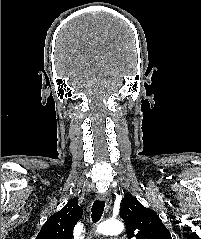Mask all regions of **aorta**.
<instances>
[{"instance_id":"762f6f07","label":"aorta","mask_w":201,"mask_h":239,"mask_svg":"<svg viewBox=\"0 0 201 239\" xmlns=\"http://www.w3.org/2000/svg\"><path fill=\"white\" fill-rule=\"evenodd\" d=\"M124 230V225L119 220H107L97 226V233L107 236L118 235Z\"/></svg>"}]
</instances>
